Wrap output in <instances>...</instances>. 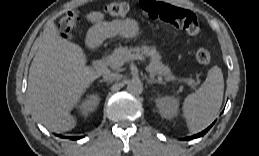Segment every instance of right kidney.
Listing matches in <instances>:
<instances>
[{
    "instance_id": "obj_1",
    "label": "right kidney",
    "mask_w": 259,
    "mask_h": 156,
    "mask_svg": "<svg viewBox=\"0 0 259 156\" xmlns=\"http://www.w3.org/2000/svg\"><path fill=\"white\" fill-rule=\"evenodd\" d=\"M99 102H100V97L98 94H89L78 105V110L83 116L87 117L97 108Z\"/></svg>"
}]
</instances>
